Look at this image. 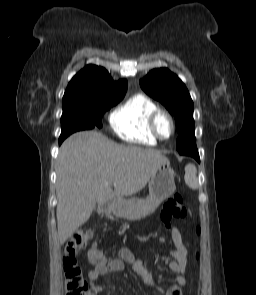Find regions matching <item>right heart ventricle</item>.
<instances>
[{"instance_id": "1", "label": "right heart ventricle", "mask_w": 256, "mask_h": 295, "mask_svg": "<svg viewBox=\"0 0 256 295\" xmlns=\"http://www.w3.org/2000/svg\"><path fill=\"white\" fill-rule=\"evenodd\" d=\"M158 109L144 94H136L117 107L110 116L113 131L131 143L155 145L157 138L149 128V118Z\"/></svg>"}]
</instances>
